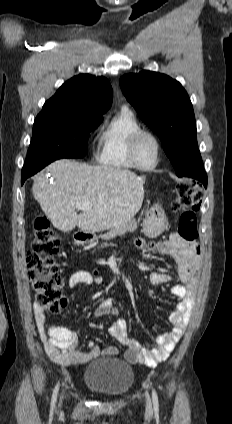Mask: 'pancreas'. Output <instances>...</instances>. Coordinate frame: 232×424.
I'll use <instances>...</instances> for the list:
<instances>
[{
    "mask_svg": "<svg viewBox=\"0 0 232 424\" xmlns=\"http://www.w3.org/2000/svg\"><path fill=\"white\" fill-rule=\"evenodd\" d=\"M136 229H137V222L133 217H131L126 219L124 222H122L118 226L110 229L108 233L103 235V238L111 239L116 237L117 235H122L126 232H133Z\"/></svg>",
    "mask_w": 232,
    "mask_h": 424,
    "instance_id": "cf45deb5",
    "label": "pancreas"
}]
</instances>
